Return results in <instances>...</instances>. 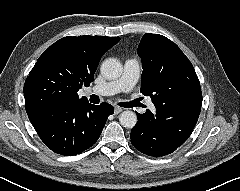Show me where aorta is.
Returning <instances> with one entry per match:
<instances>
[{"label":"aorta","mask_w":240,"mask_h":191,"mask_svg":"<svg viewBox=\"0 0 240 191\" xmlns=\"http://www.w3.org/2000/svg\"><path fill=\"white\" fill-rule=\"evenodd\" d=\"M101 74L108 80H114L121 76L123 72L122 64L115 58H108L103 61ZM120 124L125 128H133L137 123V115L132 111H124L119 116Z\"/></svg>","instance_id":"1"}]
</instances>
